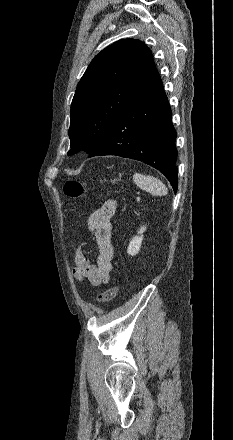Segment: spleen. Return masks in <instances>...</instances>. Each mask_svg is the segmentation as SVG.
Here are the masks:
<instances>
[{"label":"spleen","mask_w":233,"mask_h":440,"mask_svg":"<svg viewBox=\"0 0 233 440\" xmlns=\"http://www.w3.org/2000/svg\"><path fill=\"white\" fill-rule=\"evenodd\" d=\"M133 181L139 188L148 191L154 196H164L168 192L167 187L162 181L150 175L135 173Z\"/></svg>","instance_id":"spleen-1"}]
</instances>
